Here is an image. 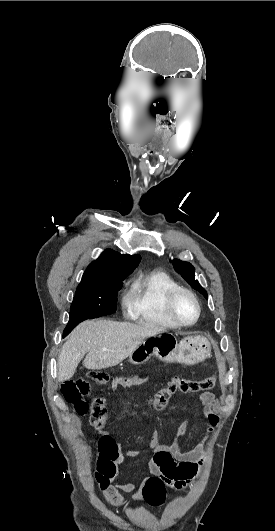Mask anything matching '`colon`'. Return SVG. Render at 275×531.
Wrapping results in <instances>:
<instances>
[{
    "label": "colon",
    "mask_w": 275,
    "mask_h": 531,
    "mask_svg": "<svg viewBox=\"0 0 275 531\" xmlns=\"http://www.w3.org/2000/svg\"><path fill=\"white\" fill-rule=\"evenodd\" d=\"M90 377L97 382L107 380V375L104 372H92ZM215 385L216 381L214 376L200 379L173 377L167 381L159 382L158 390L153 391L152 397L148 400L147 404L152 410H161L169 403L172 396L176 393L209 392L214 389ZM61 392L65 399L73 405V408L79 415L87 414L89 405L84 400V397L88 396L90 392L87 380L79 378L77 380L66 381L61 386ZM106 400L107 397L103 394L96 395L93 399L91 407V422L93 427L97 430H101L105 425L106 415L104 408H106V405H103V402ZM148 481L149 483L141 489L140 494L147 502H149L148 506L151 508H158L160 506L159 501L165 499V486L155 474L150 475Z\"/></svg>",
    "instance_id": "colon-1"
}]
</instances>
